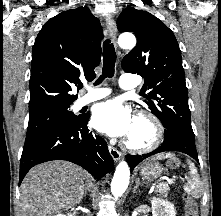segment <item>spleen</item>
I'll return each instance as SVG.
<instances>
[{
	"label": "spleen",
	"instance_id": "obj_1",
	"mask_svg": "<svg viewBox=\"0 0 221 216\" xmlns=\"http://www.w3.org/2000/svg\"><path fill=\"white\" fill-rule=\"evenodd\" d=\"M173 157V154L167 153V154H159L156 156V159L162 160L165 158H171ZM189 168H190V181L188 185V191L194 195L195 198H199V189H200V178L197 173V169L194 166L193 163L189 162Z\"/></svg>",
	"mask_w": 221,
	"mask_h": 216
}]
</instances>
